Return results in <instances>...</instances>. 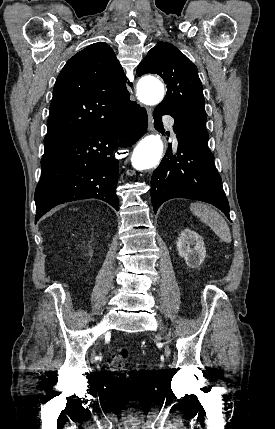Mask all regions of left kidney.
<instances>
[{"label": "left kidney", "instance_id": "obj_1", "mask_svg": "<svg viewBox=\"0 0 275 429\" xmlns=\"http://www.w3.org/2000/svg\"><path fill=\"white\" fill-rule=\"evenodd\" d=\"M177 250L187 266L192 268L201 265L206 257L203 238L188 228L181 232L177 241Z\"/></svg>", "mask_w": 275, "mask_h": 429}]
</instances>
